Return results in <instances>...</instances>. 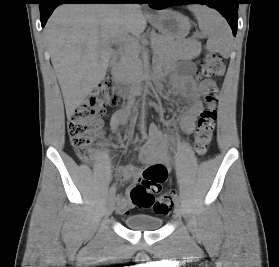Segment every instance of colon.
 Listing matches in <instances>:
<instances>
[{
    "label": "colon",
    "mask_w": 279,
    "mask_h": 267,
    "mask_svg": "<svg viewBox=\"0 0 279 267\" xmlns=\"http://www.w3.org/2000/svg\"><path fill=\"white\" fill-rule=\"evenodd\" d=\"M225 65L220 56L208 54L202 62V74L208 78L224 74ZM116 85L112 79L100 84L69 116L68 134L78 158L92 163L94 153L91 144L101 127V117L105 107L118 102ZM206 105L200 113L194 133V152L196 156L206 153L210 145L217 119L218 99L215 89L211 88L205 98ZM165 170L158 166H148L143 170L141 182L130 192V199L139 208H153L158 214H168L173 208V194L166 193L155 199L154 192L164 182Z\"/></svg>",
    "instance_id": "1"
}]
</instances>
